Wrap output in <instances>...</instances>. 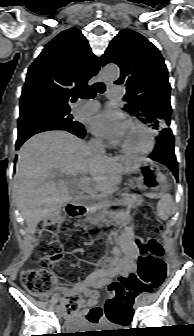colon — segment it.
Wrapping results in <instances>:
<instances>
[{
  "label": "colon",
  "instance_id": "obj_1",
  "mask_svg": "<svg viewBox=\"0 0 194 336\" xmlns=\"http://www.w3.org/2000/svg\"><path fill=\"white\" fill-rule=\"evenodd\" d=\"M151 208V202L146 200L136 219V226L141 232V236L136 240L138 260L135 278L114 281L109 284V292L113 299L107 303L105 311L108 318L114 322H118V320L114 316L116 310L113 308V302L119 297L133 296L131 285L138 283L144 285L146 289H155L161 285L165 278L166 265L161 259L163 248L154 239V236L160 233L162 226L159 220L152 216ZM38 237L41 244L40 258L42 259L60 260L64 252L63 241L67 244V252L79 253L85 261H92L102 247L100 240H75L71 235V226L62 211L54 212L42 221L38 228ZM54 266L58 267L59 265L55 264ZM20 280L23 287L32 296L37 299H46L54 286L56 275L51 267L45 266L22 271ZM79 303V296L73 295L64 299L63 306L67 314H73Z\"/></svg>",
  "mask_w": 194,
  "mask_h": 336
}]
</instances>
